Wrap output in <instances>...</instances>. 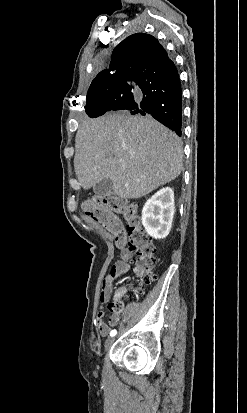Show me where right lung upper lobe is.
<instances>
[{
  "label": "right lung upper lobe",
  "instance_id": "right-lung-upper-lobe-1",
  "mask_svg": "<svg viewBox=\"0 0 247 413\" xmlns=\"http://www.w3.org/2000/svg\"><path fill=\"white\" fill-rule=\"evenodd\" d=\"M170 62L166 50L156 38L137 33L115 47L110 68L101 71L94 80L120 82L130 74L160 71Z\"/></svg>",
  "mask_w": 247,
  "mask_h": 413
}]
</instances>
